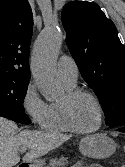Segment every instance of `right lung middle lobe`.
<instances>
[{
	"label": "right lung middle lobe",
	"mask_w": 125,
	"mask_h": 167,
	"mask_svg": "<svg viewBox=\"0 0 125 167\" xmlns=\"http://www.w3.org/2000/svg\"><path fill=\"white\" fill-rule=\"evenodd\" d=\"M28 82L0 80V105L24 111L23 101L27 92Z\"/></svg>",
	"instance_id": "dd1d6c3e"
}]
</instances>
